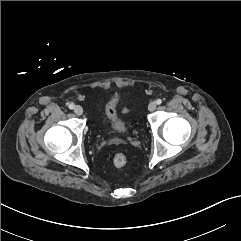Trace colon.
Returning a JSON list of instances; mask_svg holds the SVG:
<instances>
[{
	"label": "colon",
	"mask_w": 241,
	"mask_h": 241,
	"mask_svg": "<svg viewBox=\"0 0 241 241\" xmlns=\"http://www.w3.org/2000/svg\"><path fill=\"white\" fill-rule=\"evenodd\" d=\"M108 109L110 111H114L115 112V107L114 105L110 104L108 106ZM113 163L116 167H123L126 165L127 163V157L123 154V153H118L114 156L113 158Z\"/></svg>",
	"instance_id": "1"
}]
</instances>
